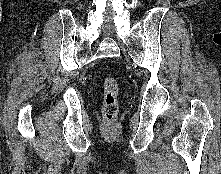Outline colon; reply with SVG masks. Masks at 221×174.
<instances>
[{
	"mask_svg": "<svg viewBox=\"0 0 221 174\" xmlns=\"http://www.w3.org/2000/svg\"><path fill=\"white\" fill-rule=\"evenodd\" d=\"M103 114L106 121L112 124L118 112V83L114 77H107L103 84Z\"/></svg>",
	"mask_w": 221,
	"mask_h": 174,
	"instance_id": "obj_1",
	"label": "colon"
}]
</instances>
